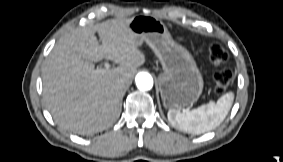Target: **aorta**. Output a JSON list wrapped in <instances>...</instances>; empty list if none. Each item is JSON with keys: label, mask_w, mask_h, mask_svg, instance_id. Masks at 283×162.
Masks as SVG:
<instances>
[{"label": "aorta", "mask_w": 283, "mask_h": 162, "mask_svg": "<svg viewBox=\"0 0 283 162\" xmlns=\"http://www.w3.org/2000/svg\"><path fill=\"white\" fill-rule=\"evenodd\" d=\"M136 86L141 91H148L153 87V78L147 72H140L135 78Z\"/></svg>", "instance_id": "762f6f07"}]
</instances>
